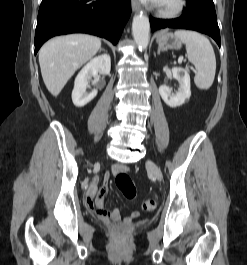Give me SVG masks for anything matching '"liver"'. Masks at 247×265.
<instances>
[{
    "label": "liver",
    "mask_w": 247,
    "mask_h": 265,
    "mask_svg": "<svg viewBox=\"0 0 247 265\" xmlns=\"http://www.w3.org/2000/svg\"><path fill=\"white\" fill-rule=\"evenodd\" d=\"M101 48V40L85 34L56 37L39 51V64L46 88L58 96L68 80Z\"/></svg>",
    "instance_id": "liver-1"
}]
</instances>
